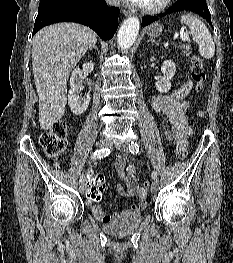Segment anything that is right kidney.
<instances>
[{
    "instance_id": "obj_1",
    "label": "right kidney",
    "mask_w": 233,
    "mask_h": 263,
    "mask_svg": "<svg viewBox=\"0 0 233 263\" xmlns=\"http://www.w3.org/2000/svg\"><path fill=\"white\" fill-rule=\"evenodd\" d=\"M94 70V63L92 61L83 64L82 69L76 68L70 77V90L68 94V104L71 111L75 115L84 113L90 102V95L81 94L83 84V71L92 72Z\"/></svg>"
}]
</instances>
